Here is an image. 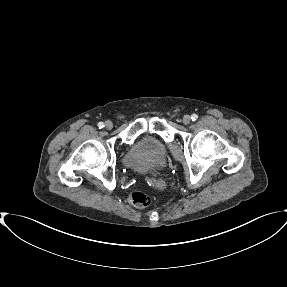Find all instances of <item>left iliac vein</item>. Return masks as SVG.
Returning <instances> with one entry per match:
<instances>
[{
	"label": "left iliac vein",
	"mask_w": 287,
	"mask_h": 287,
	"mask_svg": "<svg viewBox=\"0 0 287 287\" xmlns=\"http://www.w3.org/2000/svg\"><path fill=\"white\" fill-rule=\"evenodd\" d=\"M190 122H191V117H190L189 115H185V116L183 117V123H184L185 125H188Z\"/></svg>",
	"instance_id": "left-iliac-vein-1"
}]
</instances>
